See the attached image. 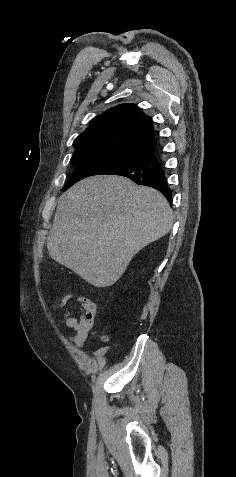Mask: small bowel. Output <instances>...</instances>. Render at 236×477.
I'll list each match as a JSON object with an SVG mask.
<instances>
[{
    "label": "small bowel",
    "mask_w": 236,
    "mask_h": 477,
    "mask_svg": "<svg viewBox=\"0 0 236 477\" xmlns=\"http://www.w3.org/2000/svg\"><path fill=\"white\" fill-rule=\"evenodd\" d=\"M75 297V293L66 294L57 306L62 308ZM76 305L80 308V315L77 317L74 314L73 306H69L64 314V321L66 325L75 331L74 335L69 336V339L78 346H81L87 339L88 334L92 328L94 318L96 316V304L89 298L80 296L76 299Z\"/></svg>",
    "instance_id": "c3829d8e"
}]
</instances>
